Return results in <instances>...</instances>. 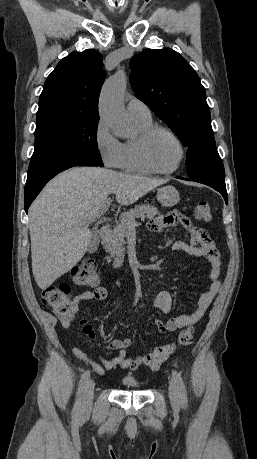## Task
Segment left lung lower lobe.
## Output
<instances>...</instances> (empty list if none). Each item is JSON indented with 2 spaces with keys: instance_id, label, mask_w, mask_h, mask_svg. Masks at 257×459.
Listing matches in <instances>:
<instances>
[{
  "instance_id": "obj_1",
  "label": "left lung lower lobe",
  "mask_w": 257,
  "mask_h": 459,
  "mask_svg": "<svg viewBox=\"0 0 257 459\" xmlns=\"http://www.w3.org/2000/svg\"><path fill=\"white\" fill-rule=\"evenodd\" d=\"M184 179V178H181ZM192 180V179H191ZM195 182H199L202 184H206L215 190L219 191L221 195L223 196L226 204H228V196H227V191H226V185H225V180H216V179H199V180H193Z\"/></svg>"
}]
</instances>
